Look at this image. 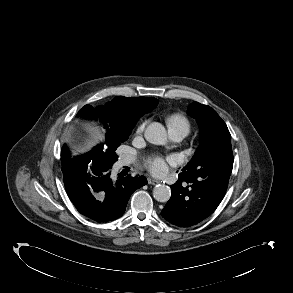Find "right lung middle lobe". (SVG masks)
<instances>
[{
  "mask_svg": "<svg viewBox=\"0 0 293 293\" xmlns=\"http://www.w3.org/2000/svg\"><path fill=\"white\" fill-rule=\"evenodd\" d=\"M130 133L131 131L112 135L106 142L107 148L105 151H103V147H101L97 151V155H100L105 161L109 163H114L117 160V155L115 153L117 147L120 146L121 142H124L128 139Z\"/></svg>",
  "mask_w": 293,
  "mask_h": 293,
  "instance_id": "right-lung-middle-lobe-1",
  "label": "right lung middle lobe"
}]
</instances>
